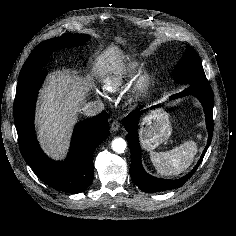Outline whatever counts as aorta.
Listing matches in <instances>:
<instances>
[{"instance_id": "obj_1", "label": "aorta", "mask_w": 236, "mask_h": 236, "mask_svg": "<svg viewBox=\"0 0 236 236\" xmlns=\"http://www.w3.org/2000/svg\"><path fill=\"white\" fill-rule=\"evenodd\" d=\"M126 148V141L123 138H115L112 141V149L116 153H123Z\"/></svg>"}]
</instances>
